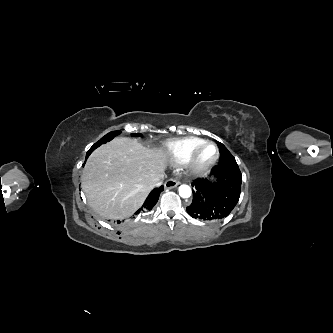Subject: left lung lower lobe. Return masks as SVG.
Segmentation results:
<instances>
[{"label":"left lung lower lobe","instance_id":"left-lung-lower-lobe-1","mask_svg":"<svg viewBox=\"0 0 333 333\" xmlns=\"http://www.w3.org/2000/svg\"><path fill=\"white\" fill-rule=\"evenodd\" d=\"M217 181L199 178L192 182L193 200L186 208L195 219L216 222L227 217L236 206L242 175L237 163L217 165L212 169Z\"/></svg>","mask_w":333,"mask_h":333}]
</instances>
